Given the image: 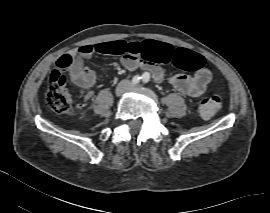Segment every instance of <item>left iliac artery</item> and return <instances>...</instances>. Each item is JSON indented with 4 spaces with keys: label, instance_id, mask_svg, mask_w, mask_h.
Here are the masks:
<instances>
[{
    "label": "left iliac artery",
    "instance_id": "44dca946",
    "mask_svg": "<svg viewBox=\"0 0 270 213\" xmlns=\"http://www.w3.org/2000/svg\"><path fill=\"white\" fill-rule=\"evenodd\" d=\"M142 81L144 83H148L150 81V74L148 72H145L143 75H142Z\"/></svg>",
    "mask_w": 270,
    "mask_h": 213
}]
</instances>
